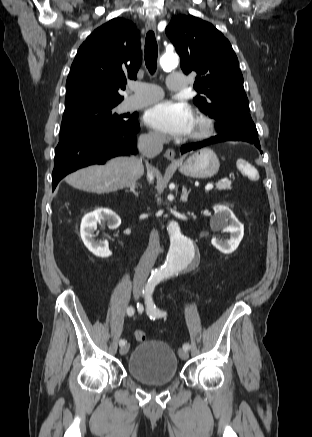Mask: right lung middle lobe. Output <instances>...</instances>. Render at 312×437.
<instances>
[{
  "mask_svg": "<svg viewBox=\"0 0 312 437\" xmlns=\"http://www.w3.org/2000/svg\"><path fill=\"white\" fill-rule=\"evenodd\" d=\"M118 104H83L68 107L64 111L59 143L101 129L121 126L130 122L124 115L115 113Z\"/></svg>",
  "mask_w": 312,
  "mask_h": 437,
  "instance_id": "obj_1",
  "label": "right lung middle lobe"
}]
</instances>
